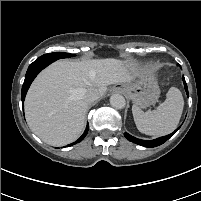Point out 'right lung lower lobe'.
Segmentation results:
<instances>
[{
	"mask_svg": "<svg viewBox=\"0 0 201 201\" xmlns=\"http://www.w3.org/2000/svg\"><path fill=\"white\" fill-rule=\"evenodd\" d=\"M58 59H56L55 57H50V56H46L43 55L41 57H39L37 60H35L28 68L27 72H26V76H25V80H24V84L22 86V102L25 99V95L27 93V90L30 86V84L32 83V81L34 80V78L37 76V74L44 69L46 66H48L49 64H51L52 62L56 61ZM88 132V124L87 127L85 129V132L83 133V135L74 143L70 144V145H74L80 141H82L85 136L87 135ZM68 145V146H70Z\"/></svg>",
	"mask_w": 201,
	"mask_h": 201,
	"instance_id": "right-lung-lower-lobe-1",
	"label": "right lung lower lobe"
}]
</instances>
